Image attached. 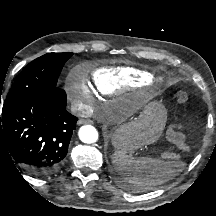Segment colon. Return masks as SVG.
<instances>
[{"mask_svg": "<svg viewBox=\"0 0 216 216\" xmlns=\"http://www.w3.org/2000/svg\"><path fill=\"white\" fill-rule=\"evenodd\" d=\"M190 94L189 91L185 88L180 89L175 94V100L180 105H185L189 102ZM174 156L173 153H168L167 157L172 158Z\"/></svg>", "mask_w": 216, "mask_h": 216, "instance_id": "5ec220e1", "label": "colon"}]
</instances>
